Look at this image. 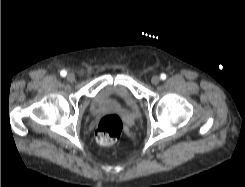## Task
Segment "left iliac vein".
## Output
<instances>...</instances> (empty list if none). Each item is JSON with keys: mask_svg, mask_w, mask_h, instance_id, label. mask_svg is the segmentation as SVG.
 Returning a JSON list of instances; mask_svg holds the SVG:
<instances>
[{"mask_svg": "<svg viewBox=\"0 0 245 187\" xmlns=\"http://www.w3.org/2000/svg\"><path fill=\"white\" fill-rule=\"evenodd\" d=\"M159 82H160V77H159L158 75L152 76V78H151V83H152L153 85H157V84H159Z\"/></svg>", "mask_w": 245, "mask_h": 187, "instance_id": "4c4485c4", "label": "left iliac vein"}]
</instances>
